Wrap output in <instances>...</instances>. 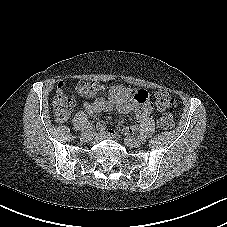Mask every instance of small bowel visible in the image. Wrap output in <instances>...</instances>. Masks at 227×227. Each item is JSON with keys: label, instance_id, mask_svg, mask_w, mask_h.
I'll use <instances>...</instances> for the list:
<instances>
[{"label": "small bowel", "instance_id": "1", "mask_svg": "<svg viewBox=\"0 0 227 227\" xmlns=\"http://www.w3.org/2000/svg\"><path fill=\"white\" fill-rule=\"evenodd\" d=\"M100 91H107L106 86L100 84ZM83 108L89 115H95L116 108L124 114L133 112L138 119L143 120L151 114L153 106L144 91L132 90L121 85H116L108 89V95L106 97H98L93 102H86ZM136 130L137 126L132 125L126 128L125 132L132 134ZM107 133L109 137L114 136L112 130H109Z\"/></svg>", "mask_w": 227, "mask_h": 227}]
</instances>
